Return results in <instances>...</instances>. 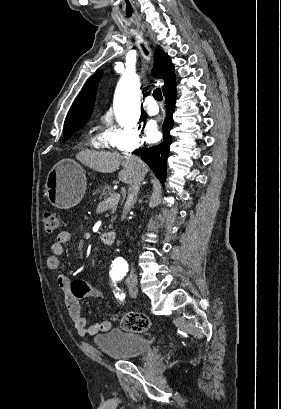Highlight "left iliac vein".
I'll list each match as a JSON object with an SVG mask.
<instances>
[{
  "label": "left iliac vein",
  "mask_w": 281,
  "mask_h": 409,
  "mask_svg": "<svg viewBox=\"0 0 281 409\" xmlns=\"http://www.w3.org/2000/svg\"><path fill=\"white\" fill-rule=\"evenodd\" d=\"M129 294L131 297L135 298L138 294L137 286L133 283L128 284Z\"/></svg>",
  "instance_id": "obj_1"
}]
</instances>
